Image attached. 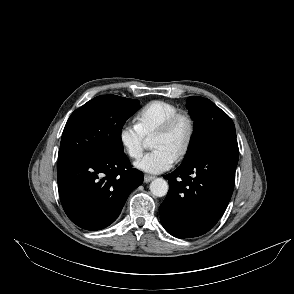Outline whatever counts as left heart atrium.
Instances as JSON below:
<instances>
[{"label": "left heart atrium", "mask_w": 294, "mask_h": 294, "mask_svg": "<svg viewBox=\"0 0 294 294\" xmlns=\"http://www.w3.org/2000/svg\"><path fill=\"white\" fill-rule=\"evenodd\" d=\"M176 156L166 149L155 148L135 162V166L147 173L159 174L169 170L175 163Z\"/></svg>", "instance_id": "left-heart-atrium-1"}]
</instances>
